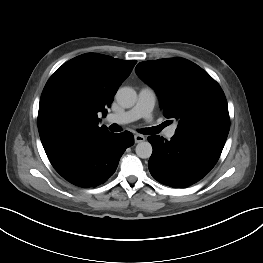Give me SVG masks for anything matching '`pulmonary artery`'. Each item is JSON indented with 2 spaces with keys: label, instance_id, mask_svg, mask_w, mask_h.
<instances>
[{
  "label": "pulmonary artery",
  "instance_id": "obj_1",
  "mask_svg": "<svg viewBox=\"0 0 263 263\" xmlns=\"http://www.w3.org/2000/svg\"><path fill=\"white\" fill-rule=\"evenodd\" d=\"M156 102V94L150 87H144L139 91L138 99L134 107L125 112L110 114L107 120L119 124L130 123L140 118L151 119ZM176 126H171L165 131L167 138L174 137Z\"/></svg>",
  "mask_w": 263,
  "mask_h": 263
}]
</instances>
